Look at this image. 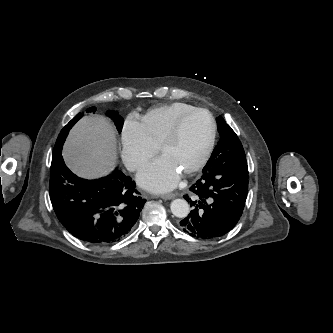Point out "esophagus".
Listing matches in <instances>:
<instances>
[{
	"instance_id": "obj_1",
	"label": "esophagus",
	"mask_w": 333,
	"mask_h": 333,
	"mask_svg": "<svg viewBox=\"0 0 333 333\" xmlns=\"http://www.w3.org/2000/svg\"><path fill=\"white\" fill-rule=\"evenodd\" d=\"M175 196L176 195L173 193L160 195V197L165 200L173 199ZM146 197L155 198L156 196L155 195H146Z\"/></svg>"
}]
</instances>
